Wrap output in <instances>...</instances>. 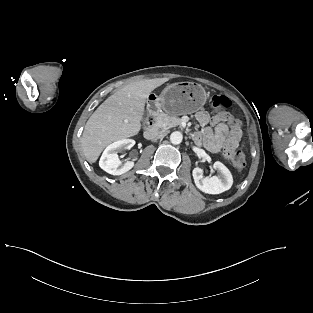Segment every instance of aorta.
<instances>
[{
	"instance_id": "1",
	"label": "aorta",
	"mask_w": 313,
	"mask_h": 313,
	"mask_svg": "<svg viewBox=\"0 0 313 313\" xmlns=\"http://www.w3.org/2000/svg\"><path fill=\"white\" fill-rule=\"evenodd\" d=\"M182 139H183V135L179 131H175L171 133L170 135V141L174 145L180 144L182 142Z\"/></svg>"
}]
</instances>
